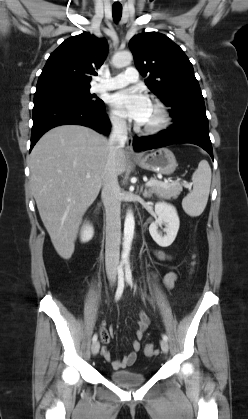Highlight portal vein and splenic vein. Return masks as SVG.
<instances>
[{
	"label": "portal vein and splenic vein",
	"instance_id": "1",
	"mask_svg": "<svg viewBox=\"0 0 248 419\" xmlns=\"http://www.w3.org/2000/svg\"><path fill=\"white\" fill-rule=\"evenodd\" d=\"M169 182H171V180L170 181L169 180H166L164 182L158 181V180H149L148 182H146L145 186L146 187H152V186H155V185L165 186ZM184 186L186 188H191V185L190 184H186L185 182H184Z\"/></svg>",
	"mask_w": 248,
	"mask_h": 419
}]
</instances>
